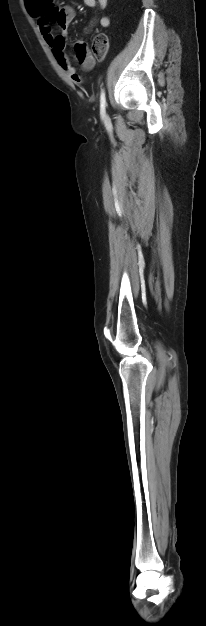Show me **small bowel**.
Returning <instances> with one entry per match:
<instances>
[{"label":"small bowel","instance_id":"1","mask_svg":"<svg viewBox=\"0 0 206 626\" xmlns=\"http://www.w3.org/2000/svg\"><path fill=\"white\" fill-rule=\"evenodd\" d=\"M84 4L90 8H106L108 0H83ZM30 14L37 19L38 26L47 45L51 48L55 59L65 73L75 82L82 83L83 77L71 65L66 53L68 36L65 33L69 24L75 18V10L69 6L54 7L52 0H26ZM98 23L102 27H108L110 20L107 16H99L92 24ZM53 24H56L61 33H56ZM90 27L86 29L88 32ZM74 57L84 71L91 70L96 60L90 52L83 39H79L74 44Z\"/></svg>","mask_w":206,"mask_h":626}]
</instances>
